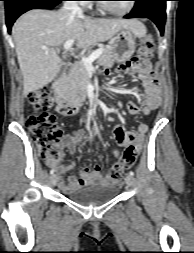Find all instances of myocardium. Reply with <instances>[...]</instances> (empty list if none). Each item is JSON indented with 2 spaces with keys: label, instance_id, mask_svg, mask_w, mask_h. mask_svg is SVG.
<instances>
[{
  "label": "myocardium",
  "instance_id": "myocardium-1",
  "mask_svg": "<svg viewBox=\"0 0 194 253\" xmlns=\"http://www.w3.org/2000/svg\"><path fill=\"white\" fill-rule=\"evenodd\" d=\"M135 2L134 0H130L128 6L123 9V10H115L112 9L111 7H109L108 5H106L105 3H101L99 6L102 10H104L105 12L112 14L114 16H118V17H123L128 15L134 8Z\"/></svg>",
  "mask_w": 194,
  "mask_h": 253
}]
</instances>
